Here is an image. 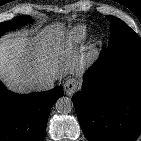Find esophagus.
I'll return each mask as SVG.
<instances>
[{
    "mask_svg": "<svg viewBox=\"0 0 141 141\" xmlns=\"http://www.w3.org/2000/svg\"><path fill=\"white\" fill-rule=\"evenodd\" d=\"M80 82L76 78H70L64 83V91L68 95L74 94L78 87H79Z\"/></svg>",
    "mask_w": 141,
    "mask_h": 141,
    "instance_id": "1",
    "label": "esophagus"
}]
</instances>
